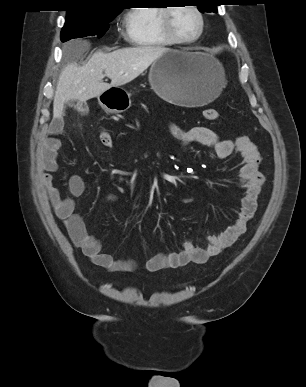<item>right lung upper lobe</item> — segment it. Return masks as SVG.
Returning a JSON list of instances; mask_svg holds the SVG:
<instances>
[{"label": "right lung upper lobe", "mask_w": 306, "mask_h": 387, "mask_svg": "<svg viewBox=\"0 0 306 387\" xmlns=\"http://www.w3.org/2000/svg\"><path fill=\"white\" fill-rule=\"evenodd\" d=\"M67 15L91 16L112 11H121L119 0H70Z\"/></svg>", "instance_id": "obj_1"}]
</instances>
